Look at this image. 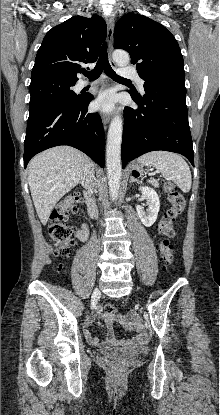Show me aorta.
Masks as SVG:
<instances>
[{"label": "aorta", "instance_id": "aorta-1", "mask_svg": "<svg viewBox=\"0 0 220 415\" xmlns=\"http://www.w3.org/2000/svg\"><path fill=\"white\" fill-rule=\"evenodd\" d=\"M114 62L124 67L130 62L129 54L124 50H115L112 54ZM122 119L121 116L116 115L112 119L106 145V165H107V177L109 184L110 196L113 200L118 197L120 188L122 167H121V142H122Z\"/></svg>", "mask_w": 220, "mask_h": 415}]
</instances>
